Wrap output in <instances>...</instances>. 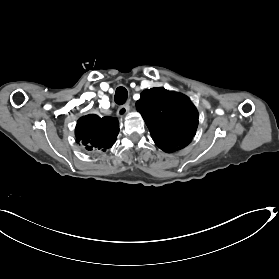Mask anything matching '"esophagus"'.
Returning <instances> with one entry per match:
<instances>
[{
    "label": "esophagus",
    "instance_id": "esophagus-1",
    "mask_svg": "<svg viewBox=\"0 0 279 279\" xmlns=\"http://www.w3.org/2000/svg\"><path fill=\"white\" fill-rule=\"evenodd\" d=\"M129 109H130L129 103L123 104L118 108L117 115L123 117L129 112Z\"/></svg>",
    "mask_w": 279,
    "mask_h": 279
}]
</instances>
